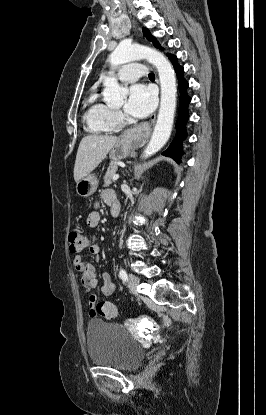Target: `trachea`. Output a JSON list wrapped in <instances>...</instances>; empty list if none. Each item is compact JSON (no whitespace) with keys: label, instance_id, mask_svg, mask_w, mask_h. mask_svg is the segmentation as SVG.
Here are the masks:
<instances>
[{"label":"trachea","instance_id":"3493384b","mask_svg":"<svg viewBox=\"0 0 266 415\" xmlns=\"http://www.w3.org/2000/svg\"><path fill=\"white\" fill-rule=\"evenodd\" d=\"M149 78H155V75L153 73H150Z\"/></svg>","mask_w":266,"mask_h":415}]
</instances>
